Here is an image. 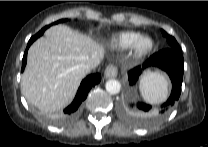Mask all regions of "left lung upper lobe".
I'll return each instance as SVG.
<instances>
[{
    "instance_id": "5c2ea615",
    "label": "left lung upper lobe",
    "mask_w": 208,
    "mask_h": 147,
    "mask_svg": "<svg viewBox=\"0 0 208 147\" xmlns=\"http://www.w3.org/2000/svg\"><path fill=\"white\" fill-rule=\"evenodd\" d=\"M163 36H165L167 38V42H168V48H173L176 50H181L179 44L177 43L176 39L169 35L168 33H166L164 30H161Z\"/></svg>"
}]
</instances>
